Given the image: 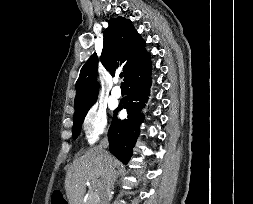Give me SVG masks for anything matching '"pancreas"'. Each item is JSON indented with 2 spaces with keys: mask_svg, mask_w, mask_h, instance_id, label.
I'll return each instance as SVG.
<instances>
[{
  "mask_svg": "<svg viewBox=\"0 0 253 204\" xmlns=\"http://www.w3.org/2000/svg\"><path fill=\"white\" fill-rule=\"evenodd\" d=\"M84 204H98V194L95 192L94 188L91 187L88 191V197Z\"/></svg>",
  "mask_w": 253,
  "mask_h": 204,
  "instance_id": "obj_1",
  "label": "pancreas"
}]
</instances>
